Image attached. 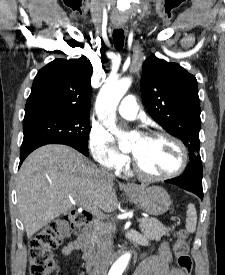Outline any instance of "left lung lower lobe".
I'll list each match as a JSON object with an SVG mask.
<instances>
[{"label": "left lung lower lobe", "instance_id": "obj_1", "mask_svg": "<svg viewBox=\"0 0 225 275\" xmlns=\"http://www.w3.org/2000/svg\"><path fill=\"white\" fill-rule=\"evenodd\" d=\"M202 162L201 158L191 159L184 173L174 179L166 180L167 183H172L182 187L187 191H191L203 199L202 189Z\"/></svg>", "mask_w": 225, "mask_h": 275}]
</instances>
